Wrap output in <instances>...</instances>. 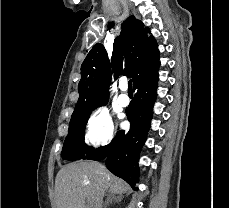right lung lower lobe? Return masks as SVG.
Masks as SVG:
<instances>
[{
	"instance_id": "right-lung-lower-lobe-1",
	"label": "right lung lower lobe",
	"mask_w": 229,
	"mask_h": 208,
	"mask_svg": "<svg viewBox=\"0 0 229 208\" xmlns=\"http://www.w3.org/2000/svg\"><path fill=\"white\" fill-rule=\"evenodd\" d=\"M158 68L134 85L135 97L126 109L130 130L118 131L115 140L107 146L92 148L81 159L99 161L107 157L106 166L116 176L124 179L134 190L139 181V153L147 138L156 98Z\"/></svg>"
}]
</instances>
